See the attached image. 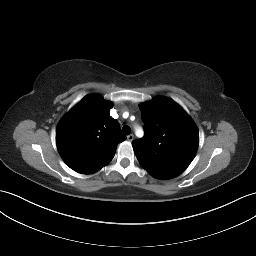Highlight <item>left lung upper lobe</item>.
Returning a JSON list of instances; mask_svg holds the SVG:
<instances>
[{"instance_id":"1","label":"left lung upper lobe","mask_w":256,"mask_h":256,"mask_svg":"<svg viewBox=\"0 0 256 256\" xmlns=\"http://www.w3.org/2000/svg\"><path fill=\"white\" fill-rule=\"evenodd\" d=\"M140 109L145 135L132 142L139 163L157 179L178 176L196 154V125L176 102L166 97H156L141 104Z\"/></svg>"}]
</instances>
